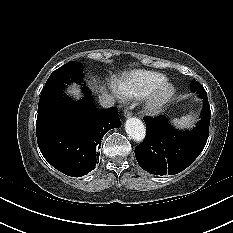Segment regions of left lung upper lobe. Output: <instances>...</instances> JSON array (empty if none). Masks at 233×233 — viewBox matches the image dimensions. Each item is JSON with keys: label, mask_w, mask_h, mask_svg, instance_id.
<instances>
[{"label": "left lung upper lobe", "mask_w": 233, "mask_h": 233, "mask_svg": "<svg viewBox=\"0 0 233 233\" xmlns=\"http://www.w3.org/2000/svg\"><path fill=\"white\" fill-rule=\"evenodd\" d=\"M192 90H193V92L199 93V95H202L205 92V89L197 81H194L192 83Z\"/></svg>", "instance_id": "left-lung-upper-lobe-1"}]
</instances>
